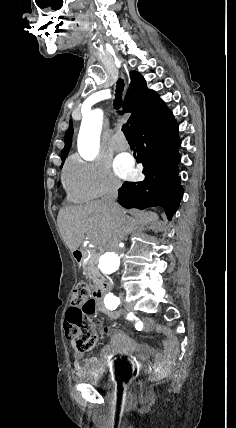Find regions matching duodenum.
Listing matches in <instances>:
<instances>
[{
  "label": "duodenum",
  "instance_id": "obj_1",
  "mask_svg": "<svg viewBox=\"0 0 236 428\" xmlns=\"http://www.w3.org/2000/svg\"><path fill=\"white\" fill-rule=\"evenodd\" d=\"M85 253L82 249L73 250V258L77 264L82 265L84 261ZM112 283L110 280L105 279L100 284H98L92 291L93 298L100 302L105 299L106 295L110 293Z\"/></svg>",
  "mask_w": 236,
  "mask_h": 428
}]
</instances>
